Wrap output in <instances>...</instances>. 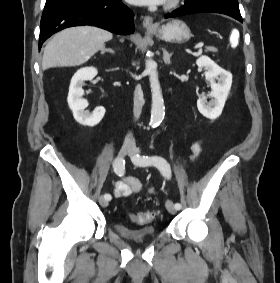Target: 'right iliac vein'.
Masks as SVG:
<instances>
[{
  "instance_id": "63e3f726",
  "label": "right iliac vein",
  "mask_w": 280,
  "mask_h": 283,
  "mask_svg": "<svg viewBox=\"0 0 280 283\" xmlns=\"http://www.w3.org/2000/svg\"><path fill=\"white\" fill-rule=\"evenodd\" d=\"M133 150V148L130 145H123L120 149L119 155L121 157H125L126 155L130 154V152ZM99 203L102 207H107L108 206V200L104 197L101 196L99 198Z\"/></svg>"
}]
</instances>
